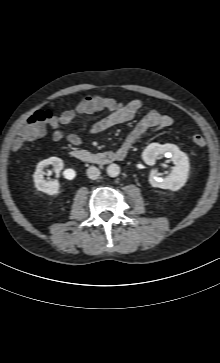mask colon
Wrapping results in <instances>:
<instances>
[{"label":"colon","mask_w":220,"mask_h":363,"mask_svg":"<svg viewBox=\"0 0 220 363\" xmlns=\"http://www.w3.org/2000/svg\"><path fill=\"white\" fill-rule=\"evenodd\" d=\"M54 118L53 111L48 108L39 109L32 113L21 127L14 146L19 147L25 142L40 138L45 132L46 124L50 123ZM192 139L197 146H204L206 144L205 138L200 134H195Z\"/></svg>","instance_id":"1"}]
</instances>
